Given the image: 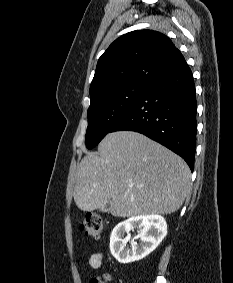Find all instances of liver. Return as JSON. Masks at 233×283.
<instances>
[{
    "instance_id": "liver-1",
    "label": "liver",
    "mask_w": 233,
    "mask_h": 283,
    "mask_svg": "<svg viewBox=\"0 0 233 283\" xmlns=\"http://www.w3.org/2000/svg\"><path fill=\"white\" fill-rule=\"evenodd\" d=\"M191 172L177 154L133 131L111 132L77 170L73 197L92 211L109 204L116 217L176 212L190 189Z\"/></svg>"
}]
</instances>
